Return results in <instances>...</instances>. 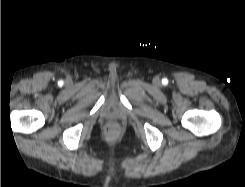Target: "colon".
Listing matches in <instances>:
<instances>
[{"label": "colon", "instance_id": "obj_1", "mask_svg": "<svg viewBox=\"0 0 245 187\" xmlns=\"http://www.w3.org/2000/svg\"><path fill=\"white\" fill-rule=\"evenodd\" d=\"M114 131H115V128H114V127H110V128L108 129L109 134H112Z\"/></svg>", "mask_w": 245, "mask_h": 187}]
</instances>
